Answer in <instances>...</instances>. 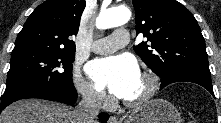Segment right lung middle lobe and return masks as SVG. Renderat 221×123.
I'll list each match as a JSON object with an SVG mask.
<instances>
[{"label":"right lung middle lobe","mask_w":221,"mask_h":123,"mask_svg":"<svg viewBox=\"0 0 221 123\" xmlns=\"http://www.w3.org/2000/svg\"><path fill=\"white\" fill-rule=\"evenodd\" d=\"M74 51L30 48L11 53L6 88L36 83L40 88L72 85Z\"/></svg>","instance_id":"obj_1"}]
</instances>
